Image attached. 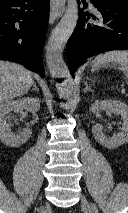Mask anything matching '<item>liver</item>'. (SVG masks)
Wrapping results in <instances>:
<instances>
[{"mask_svg":"<svg viewBox=\"0 0 128 213\" xmlns=\"http://www.w3.org/2000/svg\"><path fill=\"white\" fill-rule=\"evenodd\" d=\"M33 82L31 72L22 65L0 60V104L26 94Z\"/></svg>","mask_w":128,"mask_h":213,"instance_id":"obj_1","label":"liver"}]
</instances>
